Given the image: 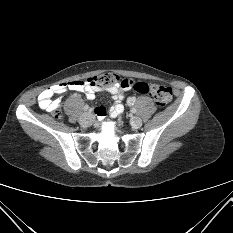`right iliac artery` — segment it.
I'll list each match as a JSON object with an SVG mask.
<instances>
[{
	"label": "right iliac artery",
	"mask_w": 233,
	"mask_h": 233,
	"mask_svg": "<svg viewBox=\"0 0 233 233\" xmlns=\"http://www.w3.org/2000/svg\"><path fill=\"white\" fill-rule=\"evenodd\" d=\"M89 109V106L88 105H86V106H84V110L85 111H87ZM90 112H91V110H89Z\"/></svg>",
	"instance_id": "1"
}]
</instances>
